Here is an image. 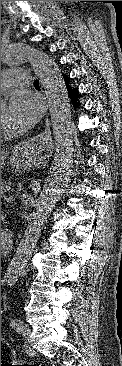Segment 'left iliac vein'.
<instances>
[{
	"mask_svg": "<svg viewBox=\"0 0 122 366\" xmlns=\"http://www.w3.org/2000/svg\"><path fill=\"white\" fill-rule=\"evenodd\" d=\"M21 332L23 334V336L25 337V344L26 346H28L31 343V339H30V334H31V329L27 326H23L21 328Z\"/></svg>",
	"mask_w": 122,
	"mask_h": 366,
	"instance_id": "4c4485c4",
	"label": "left iliac vein"
}]
</instances>
